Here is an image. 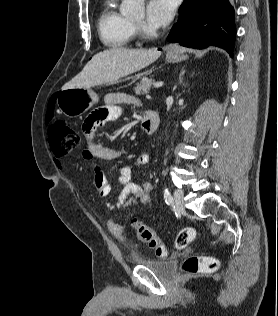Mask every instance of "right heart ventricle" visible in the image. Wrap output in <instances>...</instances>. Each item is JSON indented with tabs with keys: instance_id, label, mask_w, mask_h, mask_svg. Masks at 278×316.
<instances>
[{
	"instance_id": "right-heart-ventricle-1",
	"label": "right heart ventricle",
	"mask_w": 278,
	"mask_h": 316,
	"mask_svg": "<svg viewBox=\"0 0 278 316\" xmlns=\"http://www.w3.org/2000/svg\"><path fill=\"white\" fill-rule=\"evenodd\" d=\"M116 1L104 0L98 17L100 39L109 48L129 45L134 35L132 21L117 10Z\"/></svg>"
}]
</instances>
